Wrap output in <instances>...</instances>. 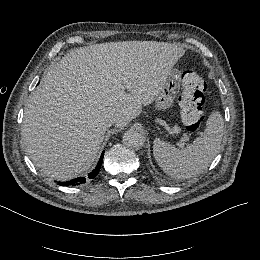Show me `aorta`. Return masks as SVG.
<instances>
[{"mask_svg": "<svg viewBox=\"0 0 260 260\" xmlns=\"http://www.w3.org/2000/svg\"><path fill=\"white\" fill-rule=\"evenodd\" d=\"M122 141L127 147L139 150L144 146L145 136L138 130L129 129L124 133Z\"/></svg>", "mask_w": 260, "mask_h": 260, "instance_id": "762f6f07", "label": "aorta"}]
</instances>
